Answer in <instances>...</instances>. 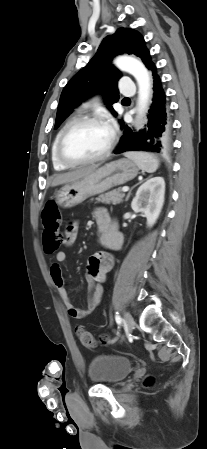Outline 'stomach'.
<instances>
[{"label":"stomach","instance_id":"1","mask_svg":"<svg viewBox=\"0 0 207 449\" xmlns=\"http://www.w3.org/2000/svg\"><path fill=\"white\" fill-rule=\"evenodd\" d=\"M139 168L130 159L122 158L95 169L84 177L63 186L55 195L56 204L71 208L86 199L134 179Z\"/></svg>","mask_w":207,"mask_h":449}]
</instances>
